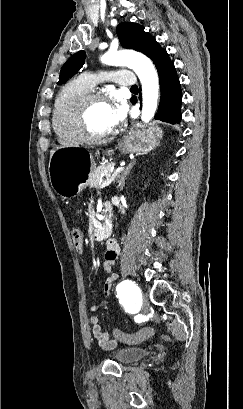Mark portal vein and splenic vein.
Here are the masks:
<instances>
[{"mask_svg":"<svg viewBox=\"0 0 243 409\" xmlns=\"http://www.w3.org/2000/svg\"><path fill=\"white\" fill-rule=\"evenodd\" d=\"M123 170H124V167H119V168H117V169L113 172L112 177H111L110 179H107L106 181H104V182L100 185V188H104V187L110 185V184L113 182L114 178H115L119 173H121Z\"/></svg>","mask_w":243,"mask_h":409,"instance_id":"18ae733b","label":"portal vein and splenic vein"}]
</instances>
